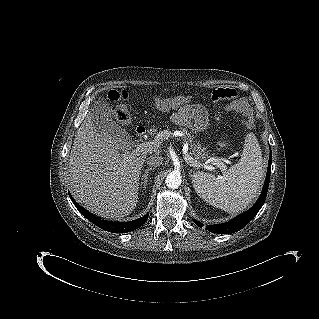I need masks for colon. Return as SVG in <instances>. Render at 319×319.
<instances>
[{"label": "colon", "instance_id": "5ec220e1", "mask_svg": "<svg viewBox=\"0 0 319 319\" xmlns=\"http://www.w3.org/2000/svg\"><path fill=\"white\" fill-rule=\"evenodd\" d=\"M124 98V93L118 91H111L108 93V99L111 101H118ZM237 99V93L232 89H223L219 88L214 90L210 94V100L213 102H228L231 106H235L239 111L242 113H247L248 107L247 106H239L234 105L235 100ZM189 98L186 96H174V97H162L156 96L153 99L154 104L160 108H170L178 106L186 101ZM115 116L118 122L122 124H127L130 121V114L125 107L119 106L116 108ZM227 147V142H221L218 144V148L223 150Z\"/></svg>", "mask_w": 319, "mask_h": 319}]
</instances>
